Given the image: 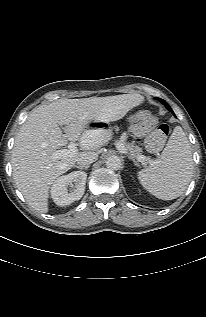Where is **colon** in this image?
<instances>
[{"label": "colon", "instance_id": "1", "mask_svg": "<svg viewBox=\"0 0 206 317\" xmlns=\"http://www.w3.org/2000/svg\"><path fill=\"white\" fill-rule=\"evenodd\" d=\"M133 121L150 131V135L146 140V146L152 151L160 149L169 134L168 125L158 124L157 119L145 110L136 112L133 115Z\"/></svg>", "mask_w": 206, "mask_h": 317}]
</instances>
